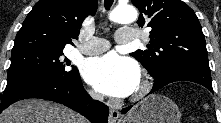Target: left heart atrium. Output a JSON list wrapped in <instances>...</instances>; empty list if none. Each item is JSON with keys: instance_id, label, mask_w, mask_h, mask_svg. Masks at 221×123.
<instances>
[{"instance_id": "1", "label": "left heart atrium", "mask_w": 221, "mask_h": 123, "mask_svg": "<svg viewBox=\"0 0 221 123\" xmlns=\"http://www.w3.org/2000/svg\"><path fill=\"white\" fill-rule=\"evenodd\" d=\"M82 74L96 91L114 97L133 93L140 78L137 64L116 53L88 59L82 67Z\"/></svg>"}]
</instances>
